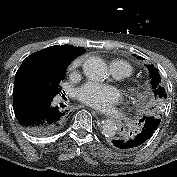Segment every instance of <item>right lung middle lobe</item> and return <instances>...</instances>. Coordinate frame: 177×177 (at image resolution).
Listing matches in <instances>:
<instances>
[{
  "label": "right lung middle lobe",
  "mask_w": 177,
  "mask_h": 177,
  "mask_svg": "<svg viewBox=\"0 0 177 177\" xmlns=\"http://www.w3.org/2000/svg\"><path fill=\"white\" fill-rule=\"evenodd\" d=\"M66 69L52 76L29 75L19 84L22 89H29L38 94L56 96L60 92L59 82L64 79Z\"/></svg>",
  "instance_id": "dd1d6c3e"
}]
</instances>
